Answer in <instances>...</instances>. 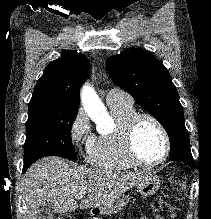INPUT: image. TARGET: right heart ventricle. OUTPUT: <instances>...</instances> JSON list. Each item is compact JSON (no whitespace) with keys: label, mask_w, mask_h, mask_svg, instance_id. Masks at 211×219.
Listing matches in <instances>:
<instances>
[{"label":"right heart ventricle","mask_w":211,"mask_h":219,"mask_svg":"<svg viewBox=\"0 0 211 219\" xmlns=\"http://www.w3.org/2000/svg\"><path fill=\"white\" fill-rule=\"evenodd\" d=\"M114 128L106 134L94 137L87 149V161L89 164L112 170H126L135 165L125 155L122 144L123 127L126 121L136 113L133 103L108 104Z\"/></svg>","instance_id":"right-heart-ventricle-1"}]
</instances>
